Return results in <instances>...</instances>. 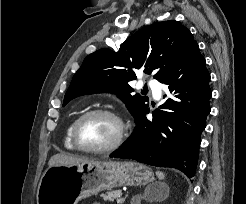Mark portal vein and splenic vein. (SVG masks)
I'll use <instances>...</instances> for the list:
<instances>
[{"mask_svg":"<svg viewBox=\"0 0 246 204\" xmlns=\"http://www.w3.org/2000/svg\"><path fill=\"white\" fill-rule=\"evenodd\" d=\"M125 201V198H119L118 200H117V203L118 204H121V203H123Z\"/></svg>","mask_w":246,"mask_h":204,"instance_id":"18ae733b","label":"portal vein and splenic vein"}]
</instances>
